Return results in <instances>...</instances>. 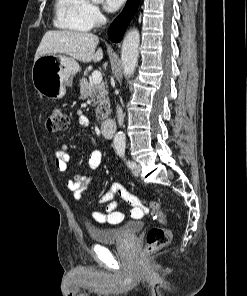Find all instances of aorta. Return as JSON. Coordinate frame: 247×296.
I'll list each match as a JSON object with an SVG mask.
<instances>
[{
    "instance_id": "obj_1",
    "label": "aorta",
    "mask_w": 247,
    "mask_h": 296,
    "mask_svg": "<svg viewBox=\"0 0 247 296\" xmlns=\"http://www.w3.org/2000/svg\"><path fill=\"white\" fill-rule=\"evenodd\" d=\"M94 3H100L103 0H92ZM140 34L137 29H131L125 36L121 49V60L125 76L130 77L135 69L139 57ZM113 144L115 149H125V135L118 132L114 136Z\"/></svg>"
}]
</instances>
